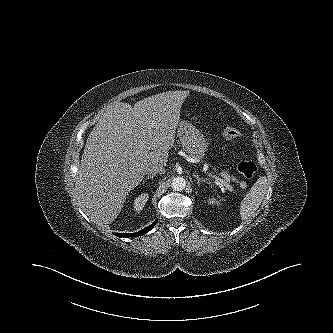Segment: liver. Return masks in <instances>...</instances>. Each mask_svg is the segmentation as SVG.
Instances as JSON below:
<instances>
[{
    "label": "liver",
    "mask_w": 333,
    "mask_h": 333,
    "mask_svg": "<svg viewBox=\"0 0 333 333\" xmlns=\"http://www.w3.org/2000/svg\"><path fill=\"white\" fill-rule=\"evenodd\" d=\"M188 95L168 91L134 107L116 103L98 121L87 138L75 181V197L92 222L112 223L147 168L166 166Z\"/></svg>",
    "instance_id": "liver-1"
}]
</instances>
